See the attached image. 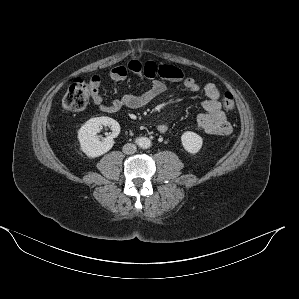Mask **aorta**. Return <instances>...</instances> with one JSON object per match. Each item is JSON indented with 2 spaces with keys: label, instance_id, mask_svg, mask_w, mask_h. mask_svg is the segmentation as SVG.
I'll return each instance as SVG.
<instances>
[{
  "label": "aorta",
  "instance_id": "762f6f07",
  "mask_svg": "<svg viewBox=\"0 0 299 299\" xmlns=\"http://www.w3.org/2000/svg\"><path fill=\"white\" fill-rule=\"evenodd\" d=\"M141 148L147 149L151 146V141L147 137H141L138 141Z\"/></svg>",
  "mask_w": 299,
  "mask_h": 299
}]
</instances>
